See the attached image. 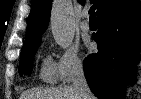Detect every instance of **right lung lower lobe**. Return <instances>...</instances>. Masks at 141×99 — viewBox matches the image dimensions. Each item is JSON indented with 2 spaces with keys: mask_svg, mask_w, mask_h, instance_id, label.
I'll use <instances>...</instances> for the list:
<instances>
[{
  "mask_svg": "<svg viewBox=\"0 0 141 99\" xmlns=\"http://www.w3.org/2000/svg\"><path fill=\"white\" fill-rule=\"evenodd\" d=\"M99 30L93 35L98 52L83 62L91 91L99 99H123V88L134 80L141 46V3L110 0L98 15Z\"/></svg>",
  "mask_w": 141,
  "mask_h": 99,
  "instance_id": "obj_1",
  "label": "right lung lower lobe"
}]
</instances>
